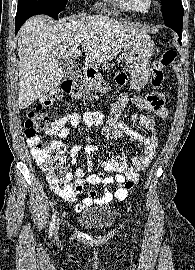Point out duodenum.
Returning a JSON list of instances; mask_svg holds the SVG:
<instances>
[{"mask_svg":"<svg viewBox=\"0 0 195 270\" xmlns=\"http://www.w3.org/2000/svg\"><path fill=\"white\" fill-rule=\"evenodd\" d=\"M84 74H85L87 79L91 80V79H93L95 77L96 72L89 65H85Z\"/></svg>","mask_w":195,"mask_h":270,"instance_id":"obj_1","label":"duodenum"}]
</instances>
